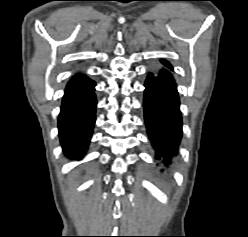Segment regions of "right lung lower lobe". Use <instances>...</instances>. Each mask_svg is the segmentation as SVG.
I'll use <instances>...</instances> for the list:
<instances>
[{"label":"right lung lower lobe","mask_w":248,"mask_h":237,"mask_svg":"<svg viewBox=\"0 0 248 237\" xmlns=\"http://www.w3.org/2000/svg\"><path fill=\"white\" fill-rule=\"evenodd\" d=\"M95 82L75 75L68 82L59 114V137L66 155L81 158L88 147L95 123Z\"/></svg>","instance_id":"98d812e1"}]
</instances>
